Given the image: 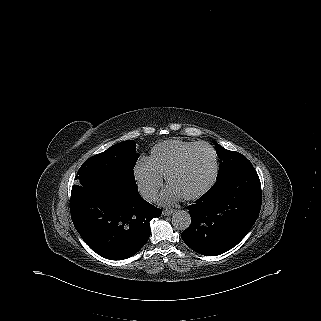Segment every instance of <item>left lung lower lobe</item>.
<instances>
[{
    "label": "left lung lower lobe",
    "mask_w": 321,
    "mask_h": 321,
    "mask_svg": "<svg viewBox=\"0 0 321 321\" xmlns=\"http://www.w3.org/2000/svg\"><path fill=\"white\" fill-rule=\"evenodd\" d=\"M261 202V184L252 164L233 168L187 207L191 225L181 238L199 254H223L247 235L259 215Z\"/></svg>",
    "instance_id": "left-lung-lower-lobe-1"
}]
</instances>
